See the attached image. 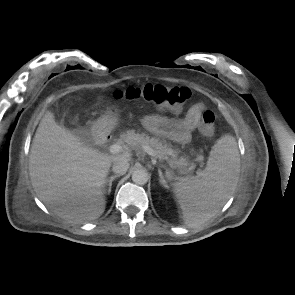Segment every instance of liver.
I'll use <instances>...</instances> for the list:
<instances>
[{
	"label": "liver",
	"mask_w": 295,
	"mask_h": 295,
	"mask_svg": "<svg viewBox=\"0 0 295 295\" xmlns=\"http://www.w3.org/2000/svg\"><path fill=\"white\" fill-rule=\"evenodd\" d=\"M119 160H131V154L108 156L84 145L47 112L33 138L29 174L37 196L57 216L86 222L103 214V186L111 164Z\"/></svg>",
	"instance_id": "obj_1"
}]
</instances>
